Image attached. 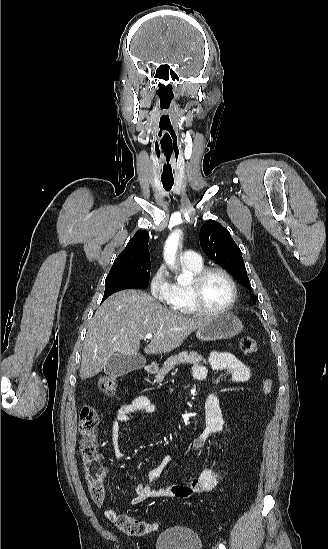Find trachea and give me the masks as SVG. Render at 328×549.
Instances as JSON below:
<instances>
[{"mask_svg": "<svg viewBox=\"0 0 328 549\" xmlns=\"http://www.w3.org/2000/svg\"><path fill=\"white\" fill-rule=\"evenodd\" d=\"M162 184H163V187L165 190H171L172 186H173V180H161Z\"/></svg>", "mask_w": 328, "mask_h": 549, "instance_id": "obj_1", "label": "trachea"}]
</instances>
